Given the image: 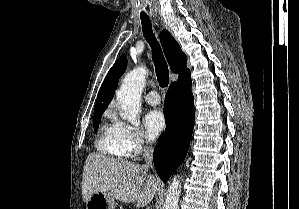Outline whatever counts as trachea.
I'll return each mask as SVG.
<instances>
[{
    "label": "trachea",
    "instance_id": "1",
    "mask_svg": "<svg viewBox=\"0 0 299 209\" xmlns=\"http://www.w3.org/2000/svg\"><path fill=\"white\" fill-rule=\"evenodd\" d=\"M140 18L145 39L152 48L157 80L162 88L167 87L169 83L168 65L163 56L162 49L153 34L150 18L146 16H141Z\"/></svg>",
    "mask_w": 299,
    "mask_h": 209
}]
</instances>
